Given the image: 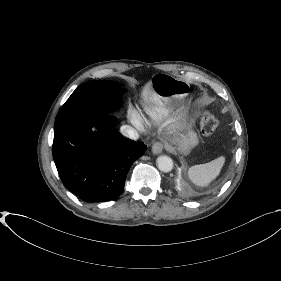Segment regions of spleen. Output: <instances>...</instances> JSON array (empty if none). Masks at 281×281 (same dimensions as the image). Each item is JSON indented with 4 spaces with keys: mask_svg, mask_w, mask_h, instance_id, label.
Returning a JSON list of instances; mask_svg holds the SVG:
<instances>
[{
    "mask_svg": "<svg viewBox=\"0 0 281 281\" xmlns=\"http://www.w3.org/2000/svg\"><path fill=\"white\" fill-rule=\"evenodd\" d=\"M225 162L224 157H219L205 164L194 165L188 170L190 180L197 186H207L215 179L223 167Z\"/></svg>",
    "mask_w": 281,
    "mask_h": 281,
    "instance_id": "1",
    "label": "spleen"
}]
</instances>
